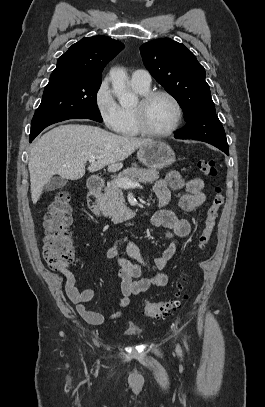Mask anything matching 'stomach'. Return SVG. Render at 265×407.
I'll list each match as a JSON object with an SVG mask.
<instances>
[{
  "instance_id": "stomach-1",
  "label": "stomach",
  "mask_w": 265,
  "mask_h": 407,
  "mask_svg": "<svg viewBox=\"0 0 265 407\" xmlns=\"http://www.w3.org/2000/svg\"><path fill=\"white\" fill-rule=\"evenodd\" d=\"M138 160L149 169H161L175 162L172 148L161 141H151L141 146L137 152Z\"/></svg>"
}]
</instances>
